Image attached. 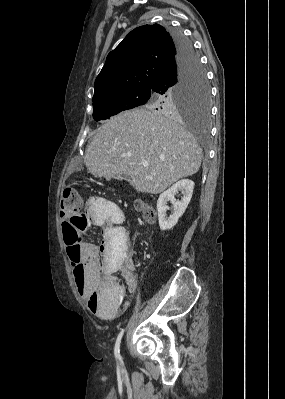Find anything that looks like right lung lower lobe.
Returning a JSON list of instances; mask_svg holds the SVG:
<instances>
[{
    "label": "right lung lower lobe",
    "mask_w": 285,
    "mask_h": 399,
    "mask_svg": "<svg viewBox=\"0 0 285 399\" xmlns=\"http://www.w3.org/2000/svg\"><path fill=\"white\" fill-rule=\"evenodd\" d=\"M171 35L175 42L177 55L171 60L158 74L153 82L151 91L154 93H165L169 88L174 87L180 82L185 71L196 60L197 55L193 45L180 31H172Z\"/></svg>",
    "instance_id": "obj_1"
}]
</instances>
